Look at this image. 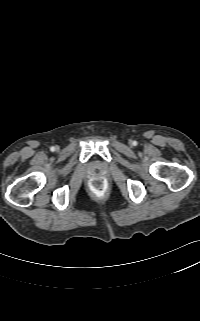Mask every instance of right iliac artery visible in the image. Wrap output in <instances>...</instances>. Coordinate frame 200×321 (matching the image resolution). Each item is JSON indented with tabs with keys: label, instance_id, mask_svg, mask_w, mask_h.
I'll return each instance as SVG.
<instances>
[{
	"label": "right iliac artery",
	"instance_id": "right-iliac-artery-1",
	"mask_svg": "<svg viewBox=\"0 0 200 321\" xmlns=\"http://www.w3.org/2000/svg\"><path fill=\"white\" fill-rule=\"evenodd\" d=\"M50 150H51V151H55V147L52 146V147L50 148Z\"/></svg>",
	"mask_w": 200,
	"mask_h": 321
}]
</instances>
